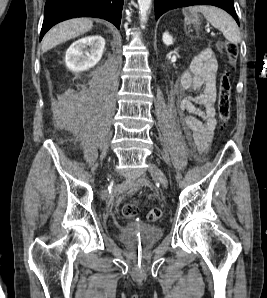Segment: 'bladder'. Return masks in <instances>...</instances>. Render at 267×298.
<instances>
[{
    "mask_svg": "<svg viewBox=\"0 0 267 298\" xmlns=\"http://www.w3.org/2000/svg\"><path fill=\"white\" fill-rule=\"evenodd\" d=\"M163 230L160 227L126 225L120 228L119 238L126 244L149 248L156 244L162 237Z\"/></svg>",
    "mask_w": 267,
    "mask_h": 298,
    "instance_id": "1",
    "label": "bladder"
}]
</instances>
